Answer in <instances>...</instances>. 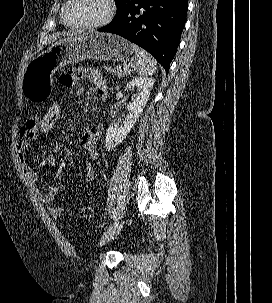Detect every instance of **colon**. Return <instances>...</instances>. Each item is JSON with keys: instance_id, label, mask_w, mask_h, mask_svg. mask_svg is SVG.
Segmentation results:
<instances>
[{"instance_id": "5ec220e1", "label": "colon", "mask_w": 272, "mask_h": 303, "mask_svg": "<svg viewBox=\"0 0 272 303\" xmlns=\"http://www.w3.org/2000/svg\"><path fill=\"white\" fill-rule=\"evenodd\" d=\"M103 69L111 74H115L117 72L116 68L109 63H104ZM61 113V106L58 102H52L47 106L43 115L39 118L38 132L40 136H51L56 131L61 119ZM93 213V207L85 206L80 210L79 215L83 219H88L92 217Z\"/></svg>"}]
</instances>
